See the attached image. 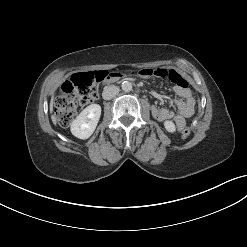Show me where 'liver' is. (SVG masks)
<instances>
[{"instance_id":"liver-1","label":"liver","mask_w":247,"mask_h":247,"mask_svg":"<svg viewBox=\"0 0 247 247\" xmlns=\"http://www.w3.org/2000/svg\"><path fill=\"white\" fill-rule=\"evenodd\" d=\"M49 108H50V112H52L53 111V97L51 98ZM51 119H52L53 124H56V117L54 115L51 116Z\"/></svg>"}]
</instances>
